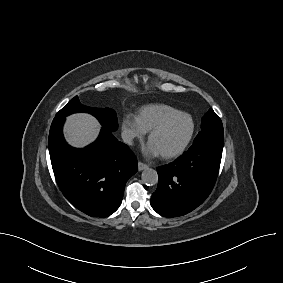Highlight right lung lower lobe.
Masks as SVG:
<instances>
[{
    "label": "right lung lower lobe",
    "mask_w": 283,
    "mask_h": 283,
    "mask_svg": "<svg viewBox=\"0 0 283 283\" xmlns=\"http://www.w3.org/2000/svg\"><path fill=\"white\" fill-rule=\"evenodd\" d=\"M64 121L54 118L48 140L56 182L75 208L91 217H108L121 205L125 184L138 171L137 160L104 127L89 146H69L62 133Z\"/></svg>",
    "instance_id": "98d812e1"
}]
</instances>
